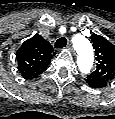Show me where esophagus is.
<instances>
[{"label": "esophagus", "mask_w": 115, "mask_h": 119, "mask_svg": "<svg viewBox=\"0 0 115 119\" xmlns=\"http://www.w3.org/2000/svg\"><path fill=\"white\" fill-rule=\"evenodd\" d=\"M67 49L72 52L73 54H75L74 48L71 45L67 46Z\"/></svg>", "instance_id": "34e87169"}]
</instances>
